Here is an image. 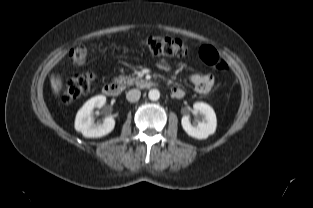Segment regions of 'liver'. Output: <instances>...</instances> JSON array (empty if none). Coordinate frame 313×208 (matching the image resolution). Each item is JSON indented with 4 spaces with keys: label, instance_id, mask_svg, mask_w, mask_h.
Returning <instances> with one entry per match:
<instances>
[{
    "label": "liver",
    "instance_id": "6515ba94",
    "mask_svg": "<svg viewBox=\"0 0 313 208\" xmlns=\"http://www.w3.org/2000/svg\"><path fill=\"white\" fill-rule=\"evenodd\" d=\"M51 86L56 95H59L60 88L62 86L61 79L56 78L54 75L51 76Z\"/></svg>",
    "mask_w": 313,
    "mask_h": 208
}]
</instances>
